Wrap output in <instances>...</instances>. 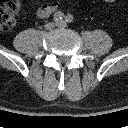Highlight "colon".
<instances>
[{
    "mask_svg": "<svg viewBox=\"0 0 128 128\" xmlns=\"http://www.w3.org/2000/svg\"><path fill=\"white\" fill-rule=\"evenodd\" d=\"M113 3L116 0H104ZM21 6L20 0H0V30H8L14 25L15 15Z\"/></svg>",
    "mask_w": 128,
    "mask_h": 128,
    "instance_id": "obj_1",
    "label": "colon"
}]
</instances>
